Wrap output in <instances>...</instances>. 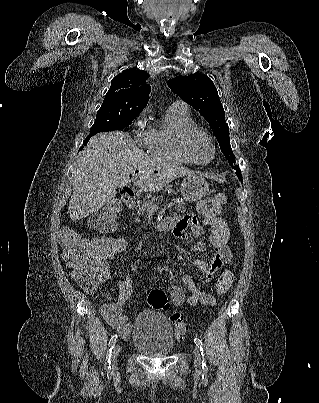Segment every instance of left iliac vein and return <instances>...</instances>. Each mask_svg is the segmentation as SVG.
Masks as SVG:
<instances>
[{"label": "left iliac vein", "mask_w": 319, "mask_h": 403, "mask_svg": "<svg viewBox=\"0 0 319 403\" xmlns=\"http://www.w3.org/2000/svg\"><path fill=\"white\" fill-rule=\"evenodd\" d=\"M193 354H194V359H195V366L197 369H200L201 368V354L197 347L193 348Z\"/></svg>", "instance_id": "4c4485c4"}]
</instances>
